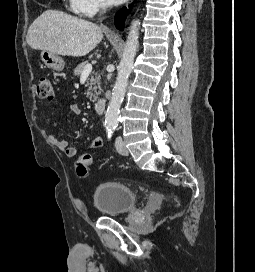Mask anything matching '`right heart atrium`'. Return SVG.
Masks as SVG:
<instances>
[{
    "label": "right heart atrium",
    "mask_w": 255,
    "mask_h": 272,
    "mask_svg": "<svg viewBox=\"0 0 255 272\" xmlns=\"http://www.w3.org/2000/svg\"><path fill=\"white\" fill-rule=\"evenodd\" d=\"M106 7L104 0H70V8L78 15L92 17Z\"/></svg>",
    "instance_id": "right-heart-atrium-1"
}]
</instances>
